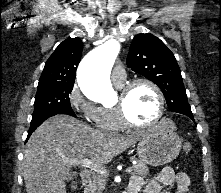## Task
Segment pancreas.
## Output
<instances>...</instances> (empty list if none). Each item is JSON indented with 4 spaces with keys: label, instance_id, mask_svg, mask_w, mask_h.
Masks as SVG:
<instances>
[{
    "label": "pancreas",
    "instance_id": "obj_1",
    "mask_svg": "<svg viewBox=\"0 0 221 193\" xmlns=\"http://www.w3.org/2000/svg\"><path fill=\"white\" fill-rule=\"evenodd\" d=\"M148 174L149 168L144 162L138 160L137 164L132 166L131 175L147 176ZM105 184L106 180L104 179V175L95 174L87 185L85 193H102L105 189Z\"/></svg>",
    "mask_w": 221,
    "mask_h": 193
}]
</instances>
